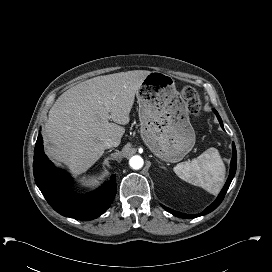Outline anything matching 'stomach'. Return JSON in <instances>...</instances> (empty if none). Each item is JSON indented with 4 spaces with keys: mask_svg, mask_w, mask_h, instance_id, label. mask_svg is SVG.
<instances>
[{
    "mask_svg": "<svg viewBox=\"0 0 272 272\" xmlns=\"http://www.w3.org/2000/svg\"><path fill=\"white\" fill-rule=\"evenodd\" d=\"M136 97L144 143L163 161H181L194 147L196 136L174 79L163 72H150Z\"/></svg>",
    "mask_w": 272,
    "mask_h": 272,
    "instance_id": "0dacf381",
    "label": "stomach"
}]
</instances>
